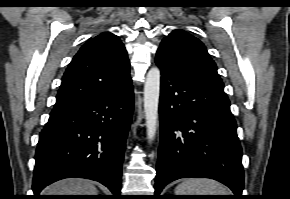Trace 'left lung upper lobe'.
I'll list each match as a JSON object with an SVG mask.
<instances>
[{"mask_svg": "<svg viewBox=\"0 0 290 199\" xmlns=\"http://www.w3.org/2000/svg\"><path fill=\"white\" fill-rule=\"evenodd\" d=\"M173 68L196 79L224 88L217 66L204 44L183 30L166 36L157 51Z\"/></svg>", "mask_w": 290, "mask_h": 199, "instance_id": "obj_1", "label": "left lung upper lobe"}]
</instances>
